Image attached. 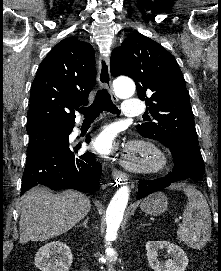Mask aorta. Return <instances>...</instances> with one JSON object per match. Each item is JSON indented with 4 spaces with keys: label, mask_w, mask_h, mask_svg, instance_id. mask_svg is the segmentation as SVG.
Segmentation results:
<instances>
[{
    "label": "aorta",
    "mask_w": 221,
    "mask_h": 271,
    "mask_svg": "<svg viewBox=\"0 0 221 271\" xmlns=\"http://www.w3.org/2000/svg\"><path fill=\"white\" fill-rule=\"evenodd\" d=\"M115 94L120 98H129L135 93V84L131 79H117L113 83ZM129 200L128 186H122L116 191L106 210V244L109 245L117 237L119 226ZM106 254L109 257L115 256L113 248L107 246Z\"/></svg>",
    "instance_id": "762f6f07"
}]
</instances>
